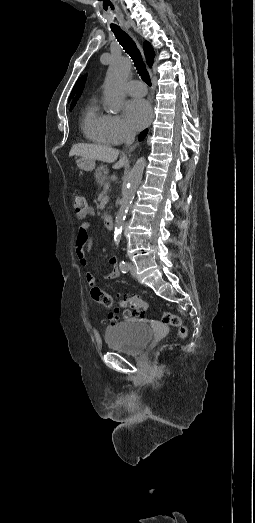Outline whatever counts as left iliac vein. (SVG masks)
Instances as JSON below:
<instances>
[{"instance_id": "1", "label": "left iliac vein", "mask_w": 255, "mask_h": 523, "mask_svg": "<svg viewBox=\"0 0 255 523\" xmlns=\"http://www.w3.org/2000/svg\"><path fill=\"white\" fill-rule=\"evenodd\" d=\"M129 270L133 277H137L136 267L133 263H129Z\"/></svg>"}]
</instances>
